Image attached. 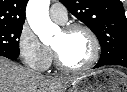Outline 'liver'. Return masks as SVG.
<instances>
[{"label": "liver", "mask_w": 127, "mask_h": 92, "mask_svg": "<svg viewBox=\"0 0 127 92\" xmlns=\"http://www.w3.org/2000/svg\"><path fill=\"white\" fill-rule=\"evenodd\" d=\"M78 77H46L0 56V92H65Z\"/></svg>", "instance_id": "6515ba94"}]
</instances>
